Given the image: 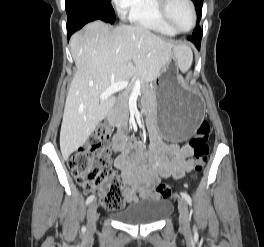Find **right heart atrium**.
<instances>
[{
  "mask_svg": "<svg viewBox=\"0 0 264 247\" xmlns=\"http://www.w3.org/2000/svg\"><path fill=\"white\" fill-rule=\"evenodd\" d=\"M136 0H113L117 12L121 17H125L132 9Z\"/></svg>",
  "mask_w": 264,
  "mask_h": 247,
  "instance_id": "d8ad5b80",
  "label": "right heart atrium"
}]
</instances>
